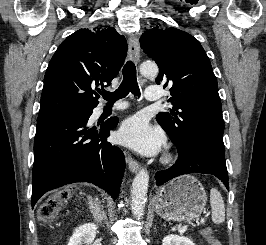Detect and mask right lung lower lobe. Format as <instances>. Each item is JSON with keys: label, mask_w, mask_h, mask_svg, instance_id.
<instances>
[{"label": "right lung lower lobe", "mask_w": 266, "mask_h": 245, "mask_svg": "<svg viewBox=\"0 0 266 245\" xmlns=\"http://www.w3.org/2000/svg\"><path fill=\"white\" fill-rule=\"evenodd\" d=\"M92 110L63 114L37 125L32 208L46 192L76 182L93 183L113 198L118 196L124 154L106 141L118 119L108 120L100 128L87 126Z\"/></svg>", "instance_id": "right-lung-lower-lobe-1"}]
</instances>
